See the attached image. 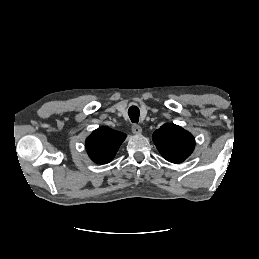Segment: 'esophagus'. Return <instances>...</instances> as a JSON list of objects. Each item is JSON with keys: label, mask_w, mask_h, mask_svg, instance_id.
I'll use <instances>...</instances> for the list:
<instances>
[{"label": "esophagus", "mask_w": 259, "mask_h": 259, "mask_svg": "<svg viewBox=\"0 0 259 259\" xmlns=\"http://www.w3.org/2000/svg\"><path fill=\"white\" fill-rule=\"evenodd\" d=\"M132 132L135 135H140L142 133V128L139 125H137V124H133L132 125Z\"/></svg>", "instance_id": "esophagus-1"}]
</instances>
